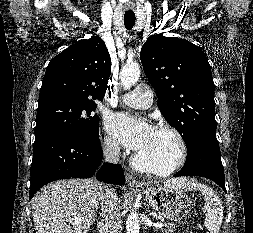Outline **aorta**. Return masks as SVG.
I'll return each mask as SVG.
<instances>
[{
    "mask_svg": "<svg viewBox=\"0 0 253 233\" xmlns=\"http://www.w3.org/2000/svg\"><path fill=\"white\" fill-rule=\"evenodd\" d=\"M140 67L138 63L125 65L120 72L121 84L124 88H130L136 84L140 77ZM140 224L136 209H133L126 220L127 233H139Z\"/></svg>",
    "mask_w": 253,
    "mask_h": 233,
    "instance_id": "1",
    "label": "aorta"
}]
</instances>
